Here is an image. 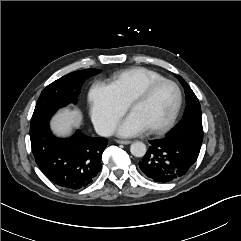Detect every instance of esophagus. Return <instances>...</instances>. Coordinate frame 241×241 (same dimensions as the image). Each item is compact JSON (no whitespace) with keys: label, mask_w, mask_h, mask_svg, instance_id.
Returning a JSON list of instances; mask_svg holds the SVG:
<instances>
[{"label":"esophagus","mask_w":241,"mask_h":241,"mask_svg":"<svg viewBox=\"0 0 241 241\" xmlns=\"http://www.w3.org/2000/svg\"><path fill=\"white\" fill-rule=\"evenodd\" d=\"M116 142L119 143V144H124V145H128V144L131 143L130 140H117Z\"/></svg>","instance_id":"obj_1"}]
</instances>
